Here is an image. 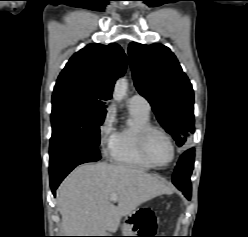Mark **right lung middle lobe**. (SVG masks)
I'll return each instance as SVG.
<instances>
[{"label":"right lung middle lobe","mask_w":248,"mask_h":237,"mask_svg":"<svg viewBox=\"0 0 248 237\" xmlns=\"http://www.w3.org/2000/svg\"><path fill=\"white\" fill-rule=\"evenodd\" d=\"M51 141L100 144V126L106 111L96 110L73 101L52 102Z\"/></svg>","instance_id":"1"}]
</instances>
